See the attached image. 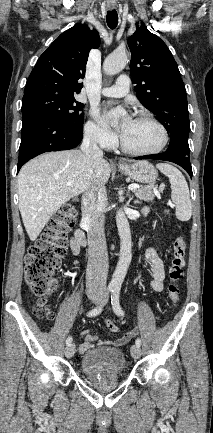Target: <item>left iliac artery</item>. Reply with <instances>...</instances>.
<instances>
[{
    "label": "left iliac artery",
    "mask_w": 213,
    "mask_h": 433,
    "mask_svg": "<svg viewBox=\"0 0 213 433\" xmlns=\"http://www.w3.org/2000/svg\"><path fill=\"white\" fill-rule=\"evenodd\" d=\"M119 297H120V287L116 286L112 289L111 303H112L113 310H114L115 314L118 316H124V312H123V310L120 306V303H119ZM135 343H136V345L140 346L141 345V339L137 338Z\"/></svg>",
    "instance_id": "1"
}]
</instances>
